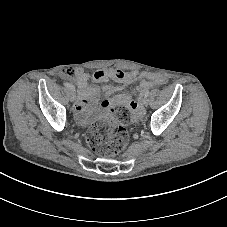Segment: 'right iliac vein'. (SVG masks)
<instances>
[{"mask_svg":"<svg viewBox=\"0 0 227 227\" xmlns=\"http://www.w3.org/2000/svg\"><path fill=\"white\" fill-rule=\"evenodd\" d=\"M75 92L72 90V92H71V94H70V100L72 101V102H74L75 101Z\"/></svg>","mask_w":227,"mask_h":227,"instance_id":"1","label":"right iliac vein"}]
</instances>
